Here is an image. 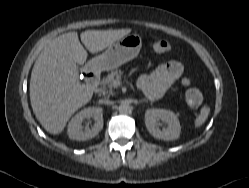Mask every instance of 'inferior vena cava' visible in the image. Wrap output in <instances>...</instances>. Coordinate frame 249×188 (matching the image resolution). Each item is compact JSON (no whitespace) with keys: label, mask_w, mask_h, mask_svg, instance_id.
<instances>
[{"label":"inferior vena cava","mask_w":249,"mask_h":188,"mask_svg":"<svg viewBox=\"0 0 249 188\" xmlns=\"http://www.w3.org/2000/svg\"><path fill=\"white\" fill-rule=\"evenodd\" d=\"M102 102L107 104V105H112L113 104V102L110 101V100H103Z\"/></svg>","instance_id":"obj_1"}]
</instances>
